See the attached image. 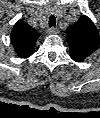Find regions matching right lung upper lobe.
Segmentation results:
<instances>
[{
	"label": "right lung upper lobe",
	"instance_id": "cb5924a9",
	"mask_svg": "<svg viewBox=\"0 0 100 118\" xmlns=\"http://www.w3.org/2000/svg\"><path fill=\"white\" fill-rule=\"evenodd\" d=\"M38 37L39 35L34 29L26 22L19 20L11 32V41L18 56L22 58L29 57Z\"/></svg>",
	"mask_w": 100,
	"mask_h": 118
}]
</instances>
